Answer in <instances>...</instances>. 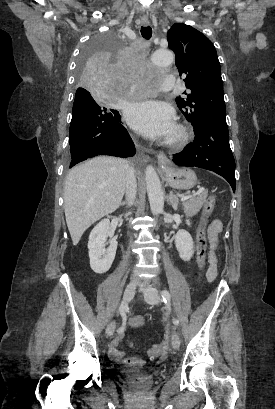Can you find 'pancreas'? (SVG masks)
Here are the masks:
<instances>
[{
  "mask_svg": "<svg viewBox=\"0 0 275 409\" xmlns=\"http://www.w3.org/2000/svg\"><path fill=\"white\" fill-rule=\"evenodd\" d=\"M208 190H203L200 194H191L189 200H183V207L187 217H193L200 211L207 198Z\"/></svg>",
  "mask_w": 275,
  "mask_h": 409,
  "instance_id": "obj_1",
  "label": "pancreas"
}]
</instances>
